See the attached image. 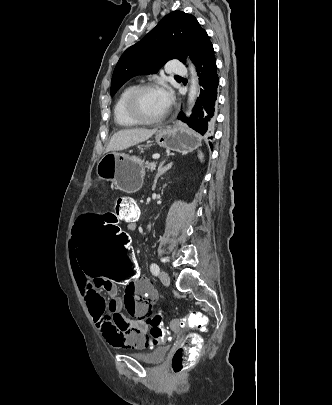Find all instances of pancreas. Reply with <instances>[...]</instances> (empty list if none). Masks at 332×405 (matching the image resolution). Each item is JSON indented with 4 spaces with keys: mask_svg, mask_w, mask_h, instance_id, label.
I'll return each instance as SVG.
<instances>
[{
    "mask_svg": "<svg viewBox=\"0 0 332 405\" xmlns=\"http://www.w3.org/2000/svg\"><path fill=\"white\" fill-rule=\"evenodd\" d=\"M154 164H155V163L146 164V168H147V169H150V168H152V167L154 168Z\"/></svg>",
    "mask_w": 332,
    "mask_h": 405,
    "instance_id": "obj_1",
    "label": "pancreas"
}]
</instances>
